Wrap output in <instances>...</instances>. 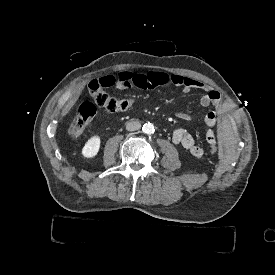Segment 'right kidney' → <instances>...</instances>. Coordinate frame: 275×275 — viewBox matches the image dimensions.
Returning <instances> with one entry per match:
<instances>
[{
  "label": "right kidney",
  "mask_w": 275,
  "mask_h": 275,
  "mask_svg": "<svg viewBox=\"0 0 275 275\" xmlns=\"http://www.w3.org/2000/svg\"><path fill=\"white\" fill-rule=\"evenodd\" d=\"M100 148V137L93 136L91 137L82 149V155L86 158H91L97 155Z\"/></svg>",
  "instance_id": "right-kidney-1"
}]
</instances>
